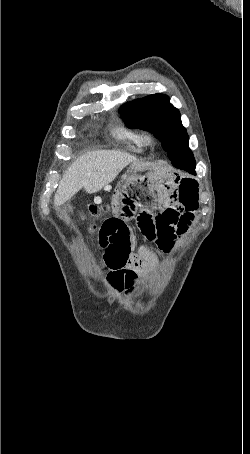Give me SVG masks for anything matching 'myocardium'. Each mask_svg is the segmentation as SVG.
Listing matches in <instances>:
<instances>
[{"mask_svg": "<svg viewBox=\"0 0 250 454\" xmlns=\"http://www.w3.org/2000/svg\"><path fill=\"white\" fill-rule=\"evenodd\" d=\"M143 141L145 145H151L154 142V139L151 134H145L143 135Z\"/></svg>", "mask_w": 250, "mask_h": 454, "instance_id": "f54148a6", "label": "myocardium"}]
</instances>
